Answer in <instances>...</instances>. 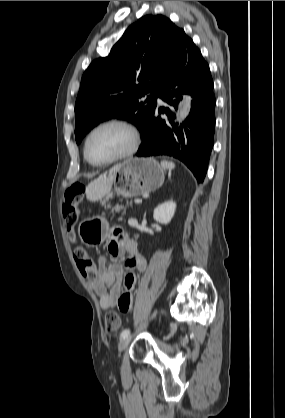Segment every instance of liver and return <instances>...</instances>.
Masks as SVG:
<instances>
[{
    "instance_id": "6515ba94",
    "label": "liver",
    "mask_w": 285,
    "mask_h": 418,
    "mask_svg": "<svg viewBox=\"0 0 285 418\" xmlns=\"http://www.w3.org/2000/svg\"><path fill=\"white\" fill-rule=\"evenodd\" d=\"M118 165L114 166L109 174H103L97 179L91 181L86 187V197L90 201H98L102 199L110 190L114 181L113 172Z\"/></svg>"
}]
</instances>
